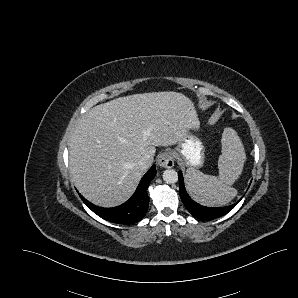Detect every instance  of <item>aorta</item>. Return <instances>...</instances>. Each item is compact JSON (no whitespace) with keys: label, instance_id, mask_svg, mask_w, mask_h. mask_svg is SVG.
<instances>
[{"label":"aorta","instance_id":"aorta-1","mask_svg":"<svg viewBox=\"0 0 298 298\" xmlns=\"http://www.w3.org/2000/svg\"><path fill=\"white\" fill-rule=\"evenodd\" d=\"M178 172L175 169H165L162 173V179L167 184H173L178 181Z\"/></svg>","mask_w":298,"mask_h":298}]
</instances>
